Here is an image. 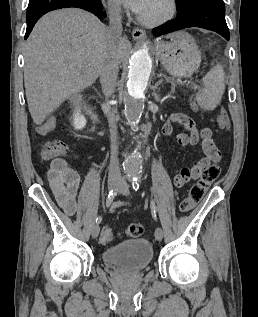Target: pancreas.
I'll return each instance as SVG.
<instances>
[{
  "label": "pancreas",
  "mask_w": 258,
  "mask_h": 317,
  "mask_svg": "<svg viewBox=\"0 0 258 317\" xmlns=\"http://www.w3.org/2000/svg\"><path fill=\"white\" fill-rule=\"evenodd\" d=\"M166 80H167V82H171V84H173V86H177V84H175V82H174L173 76H166Z\"/></svg>",
  "instance_id": "1"
}]
</instances>
